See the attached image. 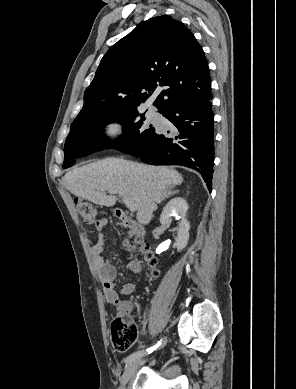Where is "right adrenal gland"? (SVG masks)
<instances>
[{
	"instance_id": "right-adrenal-gland-1",
	"label": "right adrenal gland",
	"mask_w": 296,
	"mask_h": 389,
	"mask_svg": "<svg viewBox=\"0 0 296 389\" xmlns=\"http://www.w3.org/2000/svg\"><path fill=\"white\" fill-rule=\"evenodd\" d=\"M174 193H175V191L171 192L170 195H171V194H174Z\"/></svg>"
}]
</instances>
